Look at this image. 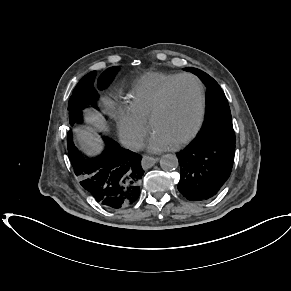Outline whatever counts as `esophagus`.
<instances>
[{
  "instance_id": "34e87169",
  "label": "esophagus",
  "mask_w": 291,
  "mask_h": 291,
  "mask_svg": "<svg viewBox=\"0 0 291 291\" xmlns=\"http://www.w3.org/2000/svg\"><path fill=\"white\" fill-rule=\"evenodd\" d=\"M159 160L158 157H150V156H143L142 158V166L145 169L152 167L155 163Z\"/></svg>"
}]
</instances>
